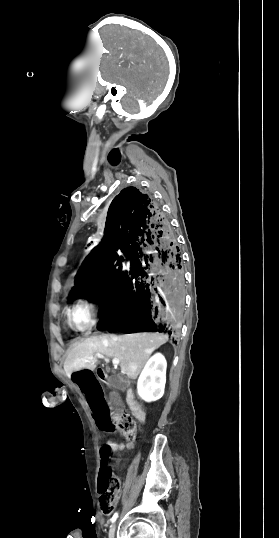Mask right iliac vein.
Returning a JSON list of instances; mask_svg holds the SVG:
<instances>
[{"label":"right iliac vein","mask_w":279,"mask_h":538,"mask_svg":"<svg viewBox=\"0 0 279 538\" xmlns=\"http://www.w3.org/2000/svg\"><path fill=\"white\" fill-rule=\"evenodd\" d=\"M116 524L111 525L109 530V538H114Z\"/></svg>","instance_id":"right-iliac-vein-1"}]
</instances>
